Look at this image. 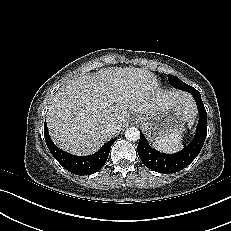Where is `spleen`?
<instances>
[{
    "label": "spleen",
    "mask_w": 231,
    "mask_h": 231,
    "mask_svg": "<svg viewBox=\"0 0 231 231\" xmlns=\"http://www.w3.org/2000/svg\"><path fill=\"white\" fill-rule=\"evenodd\" d=\"M182 131L156 139L152 146L165 153H175L182 149Z\"/></svg>",
    "instance_id": "3e777b00"
}]
</instances>
